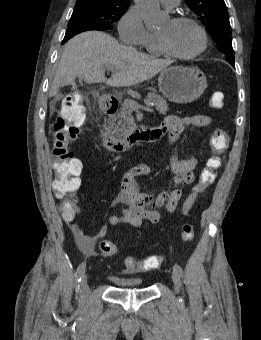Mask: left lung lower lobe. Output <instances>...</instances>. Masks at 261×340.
I'll return each mask as SVG.
<instances>
[{"label": "left lung lower lobe", "mask_w": 261, "mask_h": 340, "mask_svg": "<svg viewBox=\"0 0 261 340\" xmlns=\"http://www.w3.org/2000/svg\"><path fill=\"white\" fill-rule=\"evenodd\" d=\"M229 63L234 67V62L230 61Z\"/></svg>", "instance_id": "left-lung-lower-lobe-1"}]
</instances>
